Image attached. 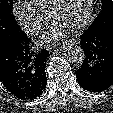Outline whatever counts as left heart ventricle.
Masks as SVG:
<instances>
[{"label":"left heart ventricle","mask_w":113,"mask_h":113,"mask_svg":"<svg viewBox=\"0 0 113 113\" xmlns=\"http://www.w3.org/2000/svg\"><path fill=\"white\" fill-rule=\"evenodd\" d=\"M89 0H63L54 16V21L71 28L80 22L87 10Z\"/></svg>","instance_id":"left-heart-ventricle-1"}]
</instances>
